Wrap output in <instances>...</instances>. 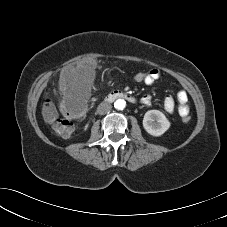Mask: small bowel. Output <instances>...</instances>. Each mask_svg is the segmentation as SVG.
<instances>
[{
  "label": "small bowel",
  "mask_w": 227,
  "mask_h": 227,
  "mask_svg": "<svg viewBox=\"0 0 227 227\" xmlns=\"http://www.w3.org/2000/svg\"><path fill=\"white\" fill-rule=\"evenodd\" d=\"M160 78V71L158 69H151L147 72V78L145 80L146 85H153L158 79ZM176 101H177V111L181 115L182 113H189L190 107L188 104V96L185 91H179L176 95ZM176 101L175 99L168 95L165 97L164 100V109L167 113H173L176 109ZM141 102L146 105L150 106L151 104V96L150 95H144L141 98Z\"/></svg>",
  "instance_id": "c3829d8e"
}]
</instances>
